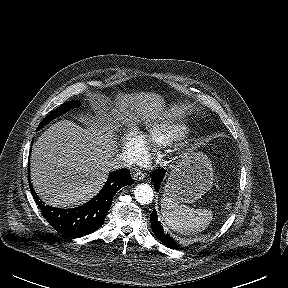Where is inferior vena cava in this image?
<instances>
[{
  "label": "inferior vena cava",
  "instance_id": "1",
  "mask_svg": "<svg viewBox=\"0 0 288 288\" xmlns=\"http://www.w3.org/2000/svg\"><path fill=\"white\" fill-rule=\"evenodd\" d=\"M133 163V158L130 156L119 155L110 162V167L111 169H122L127 167L130 168Z\"/></svg>",
  "mask_w": 288,
  "mask_h": 288
}]
</instances>
